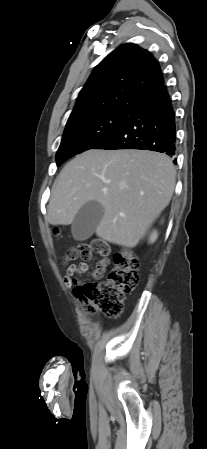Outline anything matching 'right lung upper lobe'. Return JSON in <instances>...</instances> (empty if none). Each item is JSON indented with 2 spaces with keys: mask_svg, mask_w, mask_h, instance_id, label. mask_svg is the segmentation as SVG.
<instances>
[{
  "mask_svg": "<svg viewBox=\"0 0 207 449\" xmlns=\"http://www.w3.org/2000/svg\"><path fill=\"white\" fill-rule=\"evenodd\" d=\"M167 93L156 59L135 44H124L95 67L69 119L109 109L136 111Z\"/></svg>",
  "mask_w": 207,
  "mask_h": 449,
  "instance_id": "1",
  "label": "right lung upper lobe"
}]
</instances>
